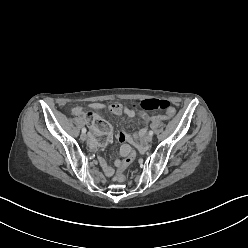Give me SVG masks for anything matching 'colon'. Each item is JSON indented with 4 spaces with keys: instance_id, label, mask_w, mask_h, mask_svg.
Segmentation results:
<instances>
[{
    "instance_id": "colon-1",
    "label": "colon",
    "mask_w": 248,
    "mask_h": 248,
    "mask_svg": "<svg viewBox=\"0 0 248 248\" xmlns=\"http://www.w3.org/2000/svg\"><path fill=\"white\" fill-rule=\"evenodd\" d=\"M121 105H114V110L121 109ZM140 107L145 111H154V110H163L166 114H158V115H148L147 121L148 122H164L167 121L168 118H171L174 113V107L172 104L164 99H147L140 103ZM88 115H92L88 113ZM92 127L95 130V142L99 146H104L108 142V135L111 133L112 128L111 125L105 123L103 119L96 118L91 121ZM136 152L133 148H129L127 151L126 158L120 162L118 165V170L115 176V180L123 183L126 181V176L124 171L126 168L133 162L135 159Z\"/></svg>"
}]
</instances>
